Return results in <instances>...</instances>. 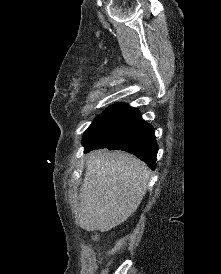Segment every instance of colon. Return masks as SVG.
Returning a JSON list of instances; mask_svg holds the SVG:
<instances>
[{
  "label": "colon",
  "mask_w": 221,
  "mask_h": 274,
  "mask_svg": "<svg viewBox=\"0 0 221 274\" xmlns=\"http://www.w3.org/2000/svg\"><path fill=\"white\" fill-rule=\"evenodd\" d=\"M94 238L96 239V238H97V236H96V235H94Z\"/></svg>",
  "instance_id": "5ec220e1"
}]
</instances>
